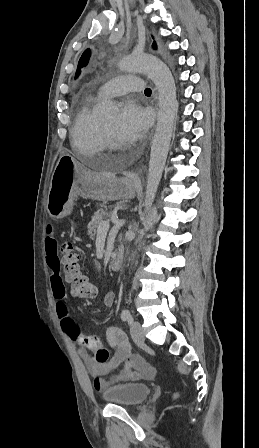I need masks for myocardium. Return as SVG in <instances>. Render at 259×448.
<instances>
[{"instance_id":"myocardium-1","label":"myocardium","mask_w":259,"mask_h":448,"mask_svg":"<svg viewBox=\"0 0 259 448\" xmlns=\"http://www.w3.org/2000/svg\"><path fill=\"white\" fill-rule=\"evenodd\" d=\"M100 131H101V136H102L103 142L108 149L116 150L120 147L119 145H117L114 142L109 130L104 126V124L102 122H100ZM78 154H79V157H78L79 161H82L86 158V155L84 153L78 152Z\"/></svg>"}]
</instances>
